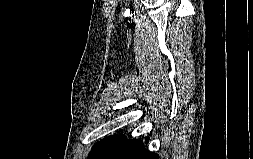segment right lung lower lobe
<instances>
[{
  "label": "right lung lower lobe",
  "mask_w": 253,
  "mask_h": 159,
  "mask_svg": "<svg viewBox=\"0 0 253 159\" xmlns=\"http://www.w3.org/2000/svg\"><path fill=\"white\" fill-rule=\"evenodd\" d=\"M159 156L145 149L143 142L126 137L107 150L98 159H158Z\"/></svg>",
  "instance_id": "right-lung-lower-lobe-1"
}]
</instances>
